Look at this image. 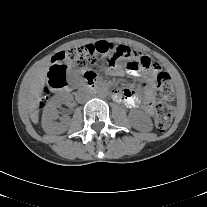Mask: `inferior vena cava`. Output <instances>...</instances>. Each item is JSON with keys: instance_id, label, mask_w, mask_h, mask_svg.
Masks as SVG:
<instances>
[{"instance_id": "1", "label": "inferior vena cava", "mask_w": 207, "mask_h": 207, "mask_svg": "<svg viewBox=\"0 0 207 207\" xmlns=\"http://www.w3.org/2000/svg\"><path fill=\"white\" fill-rule=\"evenodd\" d=\"M84 101H85V99L81 100L80 102H84Z\"/></svg>"}]
</instances>
